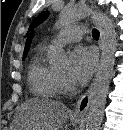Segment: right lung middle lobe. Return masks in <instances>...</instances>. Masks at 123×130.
<instances>
[{"label": "right lung middle lobe", "mask_w": 123, "mask_h": 130, "mask_svg": "<svg viewBox=\"0 0 123 130\" xmlns=\"http://www.w3.org/2000/svg\"><path fill=\"white\" fill-rule=\"evenodd\" d=\"M26 55H23V59L25 58Z\"/></svg>", "instance_id": "right-lung-middle-lobe-1"}]
</instances>
